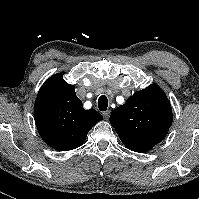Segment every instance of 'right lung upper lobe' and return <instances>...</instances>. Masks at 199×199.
<instances>
[{
	"instance_id": "cb5924a9",
	"label": "right lung upper lobe",
	"mask_w": 199,
	"mask_h": 199,
	"mask_svg": "<svg viewBox=\"0 0 199 199\" xmlns=\"http://www.w3.org/2000/svg\"><path fill=\"white\" fill-rule=\"evenodd\" d=\"M63 74L51 76L40 88L34 119L43 141L56 150L69 151L83 144L87 133L103 117L95 109L83 108L75 86L66 83Z\"/></svg>"
}]
</instances>
